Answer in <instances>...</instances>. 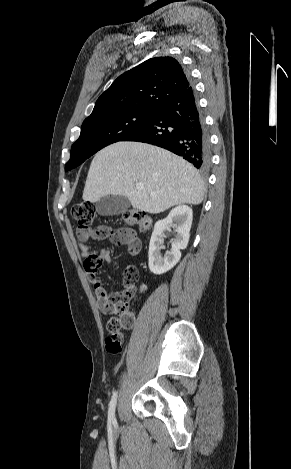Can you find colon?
<instances>
[{"instance_id": "colon-1", "label": "colon", "mask_w": 291, "mask_h": 469, "mask_svg": "<svg viewBox=\"0 0 291 469\" xmlns=\"http://www.w3.org/2000/svg\"><path fill=\"white\" fill-rule=\"evenodd\" d=\"M95 215L96 209L91 202H80L72 208V216L79 225L78 230L89 239L119 240L122 238V230H112L104 225L93 228ZM123 218L128 225L137 226L141 231H147L151 226L150 217L140 210H128L123 214ZM101 265L102 261L98 259H89L86 263L87 269L91 272H97ZM138 276V270L134 266L127 267L124 273L125 289L114 297V306L109 312L111 317L107 322L109 336L106 338V350L110 353L121 352L123 343L121 329H130L135 323L132 301L136 296ZM95 288L101 289L102 285L96 283Z\"/></svg>"}]
</instances>
